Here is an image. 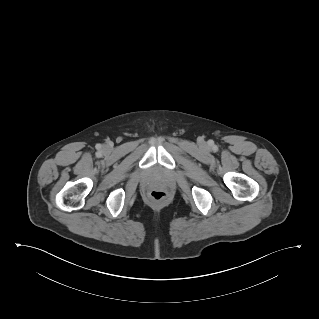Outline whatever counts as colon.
Listing matches in <instances>:
<instances>
[{"label":"colon","mask_w":319,"mask_h":319,"mask_svg":"<svg viewBox=\"0 0 319 319\" xmlns=\"http://www.w3.org/2000/svg\"><path fill=\"white\" fill-rule=\"evenodd\" d=\"M149 197L156 202H160L163 201L164 199H166L167 194L165 191L161 190V189H154L149 193Z\"/></svg>","instance_id":"5ec220e1"}]
</instances>
